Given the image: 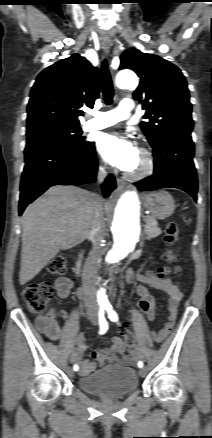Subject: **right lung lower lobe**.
<instances>
[{
  "mask_svg": "<svg viewBox=\"0 0 212 438\" xmlns=\"http://www.w3.org/2000/svg\"><path fill=\"white\" fill-rule=\"evenodd\" d=\"M97 170L93 142L83 147L50 141L28 142L20 185L19 214L50 186L93 182ZM115 188V178L109 174L102 185L103 195L107 198Z\"/></svg>",
  "mask_w": 212,
  "mask_h": 438,
  "instance_id": "98d812e1",
  "label": "right lung lower lobe"
}]
</instances>
